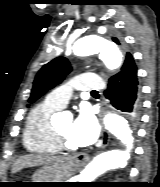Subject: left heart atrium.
Listing matches in <instances>:
<instances>
[{
	"label": "left heart atrium",
	"instance_id": "1",
	"mask_svg": "<svg viewBox=\"0 0 160 187\" xmlns=\"http://www.w3.org/2000/svg\"><path fill=\"white\" fill-rule=\"evenodd\" d=\"M72 139L78 146H88L96 141L99 130L94 116L82 110L72 124Z\"/></svg>",
	"mask_w": 160,
	"mask_h": 187
}]
</instances>
